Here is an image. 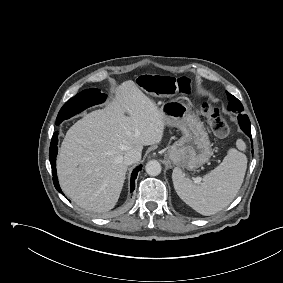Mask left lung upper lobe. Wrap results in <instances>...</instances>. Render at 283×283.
<instances>
[{
	"instance_id": "1",
	"label": "left lung upper lobe",
	"mask_w": 283,
	"mask_h": 283,
	"mask_svg": "<svg viewBox=\"0 0 283 283\" xmlns=\"http://www.w3.org/2000/svg\"><path fill=\"white\" fill-rule=\"evenodd\" d=\"M228 95V99H229V104H228V109L232 110L234 112H242L243 111V106L241 104V102L232 94H230L229 92H227Z\"/></svg>"
}]
</instances>
